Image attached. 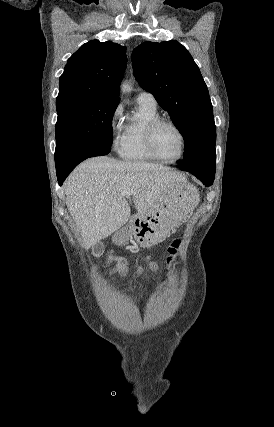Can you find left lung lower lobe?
Listing matches in <instances>:
<instances>
[{
    "label": "left lung lower lobe",
    "instance_id": "0a47b994",
    "mask_svg": "<svg viewBox=\"0 0 274 427\" xmlns=\"http://www.w3.org/2000/svg\"><path fill=\"white\" fill-rule=\"evenodd\" d=\"M178 168H180L181 170L190 172L191 174H193L194 176H196L205 186H211L213 184L214 181V177L215 174H201L195 171H191L188 169L183 168L182 166L178 165Z\"/></svg>",
    "mask_w": 274,
    "mask_h": 427
}]
</instances>
